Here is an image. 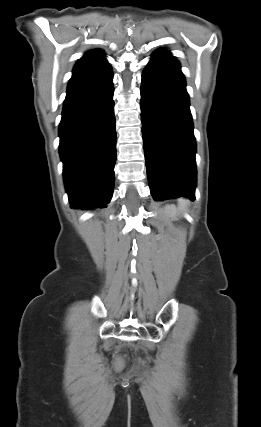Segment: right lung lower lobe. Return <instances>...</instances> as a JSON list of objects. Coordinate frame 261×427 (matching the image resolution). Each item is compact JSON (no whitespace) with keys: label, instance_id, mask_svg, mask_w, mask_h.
Returning <instances> with one entry per match:
<instances>
[{"label":"right lung lower lobe","instance_id":"1","mask_svg":"<svg viewBox=\"0 0 261 427\" xmlns=\"http://www.w3.org/2000/svg\"><path fill=\"white\" fill-rule=\"evenodd\" d=\"M110 65L69 81L59 152L71 207H106L114 189L116 132Z\"/></svg>","mask_w":261,"mask_h":427}]
</instances>
